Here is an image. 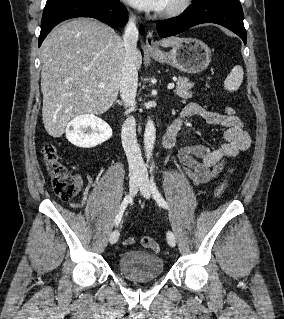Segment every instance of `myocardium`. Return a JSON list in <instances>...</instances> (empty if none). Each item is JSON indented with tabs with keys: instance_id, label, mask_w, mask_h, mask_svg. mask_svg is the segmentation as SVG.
Returning <instances> with one entry per match:
<instances>
[{
	"instance_id": "1",
	"label": "myocardium",
	"mask_w": 284,
	"mask_h": 319,
	"mask_svg": "<svg viewBox=\"0 0 284 319\" xmlns=\"http://www.w3.org/2000/svg\"><path fill=\"white\" fill-rule=\"evenodd\" d=\"M191 0H175L168 8L164 9L161 17H176L183 14L190 6Z\"/></svg>"
}]
</instances>
